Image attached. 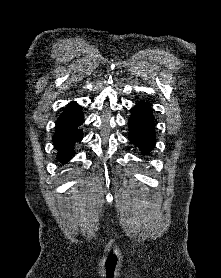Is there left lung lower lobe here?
Wrapping results in <instances>:
<instances>
[{"instance_id":"obj_1","label":"left lung lower lobe","mask_w":221,"mask_h":278,"mask_svg":"<svg viewBox=\"0 0 221 278\" xmlns=\"http://www.w3.org/2000/svg\"><path fill=\"white\" fill-rule=\"evenodd\" d=\"M129 140L143 153L152 150L155 144L154 116L149 104L138 103L128 120Z\"/></svg>"}]
</instances>
